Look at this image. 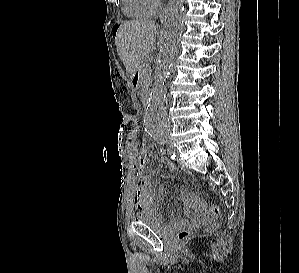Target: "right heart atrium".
Listing matches in <instances>:
<instances>
[{"label":"right heart atrium","instance_id":"d8ad5b80","mask_svg":"<svg viewBox=\"0 0 299 273\" xmlns=\"http://www.w3.org/2000/svg\"><path fill=\"white\" fill-rule=\"evenodd\" d=\"M148 2L153 8H156L159 4V0H148Z\"/></svg>","mask_w":299,"mask_h":273}]
</instances>
